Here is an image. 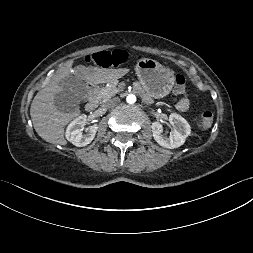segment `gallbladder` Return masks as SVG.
Instances as JSON below:
<instances>
[{
  "instance_id": "bac80fb5",
  "label": "gallbladder",
  "mask_w": 253,
  "mask_h": 253,
  "mask_svg": "<svg viewBox=\"0 0 253 253\" xmlns=\"http://www.w3.org/2000/svg\"><path fill=\"white\" fill-rule=\"evenodd\" d=\"M63 90L54 97L56 108L65 113H73L79 103L85 100L87 94L86 83L76 76H70L61 81Z\"/></svg>"
}]
</instances>
